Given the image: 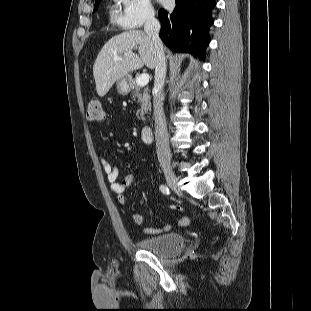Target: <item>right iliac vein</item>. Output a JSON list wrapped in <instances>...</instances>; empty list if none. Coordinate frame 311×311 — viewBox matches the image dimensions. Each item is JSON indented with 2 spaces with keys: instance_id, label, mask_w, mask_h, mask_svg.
I'll return each instance as SVG.
<instances>
[{
  "instance_id": "63e3f726",
  "label": "right iliac vein",
  "mask_w": 311,
  "mask_h": 311,
  "mask_svg": "<svg viewBox=\"0 0 311 311\" xmlns=\"http://www.w3.org/2000/svg\"><path fill=\"white\" fill-rule=\"evenodd\" d=\"M164 175L167 181V184L170 188L175 190L176 192H180L179 186H178V179L171 168H165L164 169Z\"/></svg>"
}]
</instances>
